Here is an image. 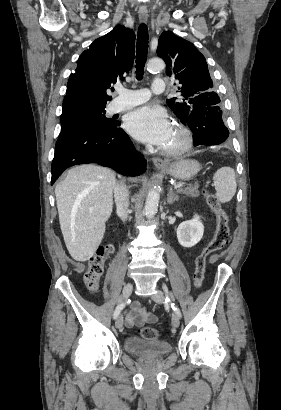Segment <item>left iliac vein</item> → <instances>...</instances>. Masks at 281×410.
Returning a JSON list of instances; mask_svg holds the SVG:
<instances>
[{
    "mask_svg": "<svg viewBox=\"0 0 281 410\" xmlns=\"http://www.w3.org/2000/svg\"><path fill=\"white\" fill-rule=\"evenodd\" d=\"M152 299L158 303V304H162L164 302V296L163 293L160 291H157L155 294L152 295ZM172 325L177 328L180 325V318L179 315L177 313H173L172 315Z\"/></svg>",
    "mask_w": 281,
    "mask_h": 410,
    "instance_id": "left-iliac-vein-1",
    "label": "left iliac vein"
}]
</instances>
